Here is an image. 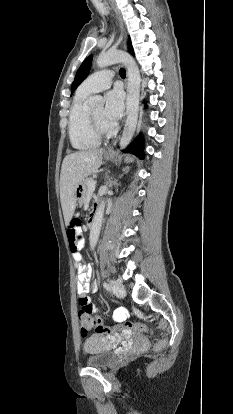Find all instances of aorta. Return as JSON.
<instances>
[{
    "label": "aorta",
    "instance_id": "1",
    "mask_svg": "<svg viewBox=\"0 0 233 414\" xmlns=\"http://www.w3.org/2000/svg\"><path fill=\"white\" fill-rule=\"evenodd\" d=\"M116 63H122L126 67L128 76L126 101L127 119L119 143L120 149H125L131 142L137 126L141 77L135 60L131 55L124 51L110 50L106 53L100 54L96 60V65L99 68H104ZM88 104L91 106H102L104 104V99L99 95H94L89 97ZM104 208L105 201H102L97 207L93 217L89 236L91 249H94L99 238L104 215Z\"/></svg>",
    "mask_w": 233,
    "mask_h": 414
}]
</instances>
